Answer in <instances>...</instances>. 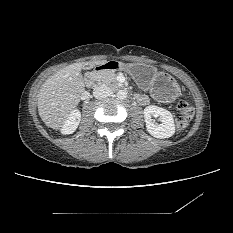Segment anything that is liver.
<instances>
[{
  "mask_svg": "<svg viewBox=\"0 0 233 233\" xmlns=\"http://www.w3.org/2000/svg\"><path fill=\"white\" fill-rule=\"evenodd\" d=\"M106 60L94 65L105 64ZM88 63H74L50 76L38 93V112L42 121L52 129H60L78 106L85 84L81 70Z\"/></svg>",
  "mask_w": 233,
  "mask_h": 233,
  "instance_id": "6515ba94",
  "label": "liver"
}]
</instances>
